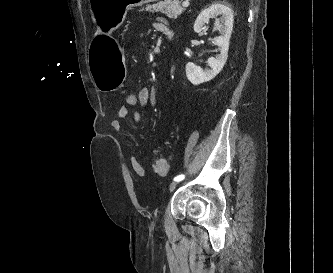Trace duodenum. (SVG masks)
Instances as JSON below:
<instances>
[{
	"label": "duodenum",
	"mask_w": 333,
	"mask_h": 273,
	"mask_svg": "<svg viewBox=\"0 0 333 273\" xmlns=\"http://www.w3.org/2000/svg\"><path fill=\"white\" fill-rule=\"evenodd\" d=\"M165 33H166L168 39H170V40L173 39L174 33L170 29H166Z\"/></svg>",
	"instance_id": "obj_1"
}]
</instances>
